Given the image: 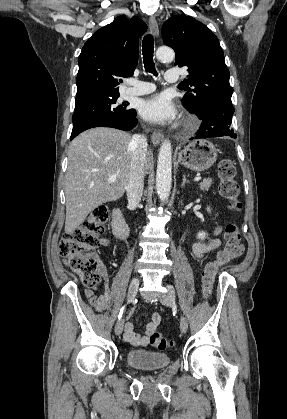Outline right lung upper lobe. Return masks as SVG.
<instances>
[{
    "label": "right lung upper lobe",
    "instance_id": "1",
    "mask_svg": "<svg viewBox=\"0 0 287 419\" xmlns=\"http://www.w3.org/2000/svg\"><path fill=\"white\" fill-rule=\"evenodd\" d=\"M146 28L136 17L118 16L88 39L78 59L75 107L119 95L120 77L133 75Z\"/></svg>",
    "mask_w": 287,
    "mask_h": 419
}]
</instances>
